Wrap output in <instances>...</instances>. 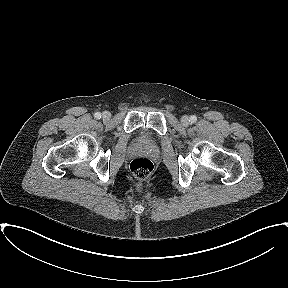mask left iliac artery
<instances>
[{
	"mask_svg": "<svg viewBox=\"0 0 288 288\" xmlns=\"http://www.w3.org/2000/svg\"><path fill=\"white\" fill-rule=\"evenodd\" d=\"M197 121V117L195 116V115H192L191 117H190V122L191 123H195Z\"/></svg>",
	"mask_w": 288,
	"mask_h": 288,
	"instance_id": "44dca946",
	"label": "left iliac artery"
}]
</instances>
